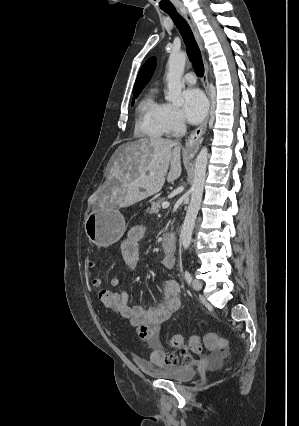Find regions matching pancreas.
Segmentation results:
<instances>
[{"label":"pancreas","instance_id":"cf45deb5","mask_svg":"<svg viewBox=\"0 0 299 426\" xmlns=\"http://www.w3.org/2000/svg\"><path fill=\"white\" fill-rule=\"evenodd\" d=\"M165 202V198H159L156 202L151 203V207L148 209L149 213L157 214L161 209L162 203Z\"/></svg>","mask_w":299,"mask_h":426}]
</instances>
